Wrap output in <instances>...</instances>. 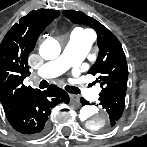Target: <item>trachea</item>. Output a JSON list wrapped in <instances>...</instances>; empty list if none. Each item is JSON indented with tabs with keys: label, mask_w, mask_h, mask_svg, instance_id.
<instances>
[{
	"label": "trachea",
	"mask_w": 147,
	"mask_h": 147,
	"mask_svg": "<svg viewBox=\"0 0 147 147\" xmlns=\"http://www.w3.org/2000/svg\"><path fill=\"white\" fill-rule=\"evenodd\" d=\"M48 85H49L48 82L45 81V80H42V81L40 82V88H41V89H44V88L48 87ZM65 89H66L69 93H72V94H79V93H80V89L77 88V87H75V86H68V85H66V86H65Z\"/></svg>",
	"instance_id": "trachea-1"
}]
</instances>
